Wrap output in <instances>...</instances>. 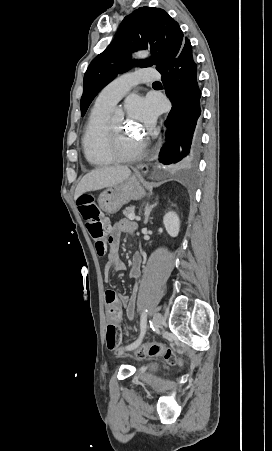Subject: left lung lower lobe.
<instances>
[{
    "label": "left lung lower lobe",
    "instance_id": "0a47b994",
    "mask_svg": "<svg viewBox=\"0 0 272 451\" xmlns=\"http://www.w3.org/2000/svg\"><path fill=\"white\" fill-rule=\"evenodd\" d=\"M162 82L172 102L166 124L169 131L161 151L160 161L171 169L192 166L197 159L200 143L201 90L197 81V64L188 38L176 58L163 70Z\"/></svg>",
    "mask_w": 272,
    "mask_h": 451
}]
</instances>
